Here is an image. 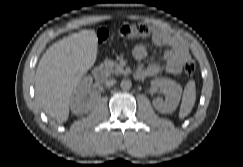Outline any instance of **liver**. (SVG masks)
<instances>
[{
	"instance_id": "6515ba94",
	"label": "liver",
	"mask_w": 243,
	"mask_h": 167,
	"mask_svg": "<svg viewBox=\"0 0 243 167\" xmlns=\"http://www.w3.org/2000/svg\"><path fill=\"white\" fill-rule=\"evenodd\" d=\"M97 47L96 33L82 30L53 44L41 57L35 75L37 100L58 123L67 121L70 98L94 65Z\"/></svg>"
}]
</instances>
